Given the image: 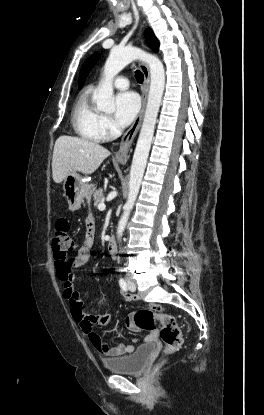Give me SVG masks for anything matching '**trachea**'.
Listing matches in <instances>:
<instances>
[{
  "instance_id": "trachea-1",
  "label": "trachea",
  "mask_w": 264,
  "mask_h": 415,
  "mask_svg": "<svg viewBox=\"0 0 264 415\" xmlns=\"http://www.w3.org/2000/svg\"><path fill=\"white\" fill-rule=\"evenodd\" d=\"M135 76H136V80H137L138 83H143L144 76H143V73L141 71L137 70L135 72Z\"/></svg>"
}]
</instances>
